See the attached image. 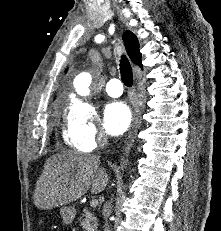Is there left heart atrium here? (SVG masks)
<instances>
[{"instance_id": "39dd6f15", "label": "left heart atrium", "mask_w": 221, "mask_h": 231, "mask_svg": "<svg viewBox=\"0 0 221 231\" xmlns=\"http://www.w3.org/2000/svg\"><path fill=\"white\" fill-rule=\"evenodd\" d=\"M131 121V112L123 102H112L104 110V128L112 135L123 133Z\"/></svg>"}]
</instances>
